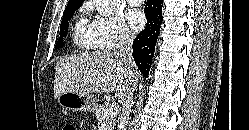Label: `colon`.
<instances>
[{
  "instance_id": "obj_1",
  "label": "colon",
  "mask_w": 249,
  "mask_h": 130,
  "mask_svg": "<svg viewBox=\"0 0 249 130\" xmlns=\"http://www.w3.org/2000/svg\"><path fill=\"white\" fill-rule=\"evenodd\" d=\"M62 130H77L75 125L72 123H66L63 127Z\"/></svg>"
}]
</instances>
